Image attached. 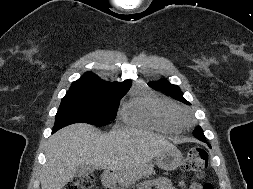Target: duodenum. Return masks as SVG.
I'll return each instance as SVG.
<instances>
[{
	"label": "duodenum",
	"instance_id": "1",
	"mask_svg": "<svg viewBox=\"0 0 253 189\" xmlns=\"http://www.w3.org/2000/svg\"><path fill=\"white\" fill-rule=\"evenodd\" d=\"M102 182L107 187L112 186L114 183V172L112 170H105L102 175Z\"/></svg>",
	"mask_w": 253,
	"mask_h": 189
}]
</instances>
